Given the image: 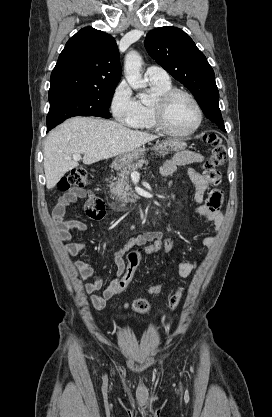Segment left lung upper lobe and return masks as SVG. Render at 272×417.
<instances>
[{
	"mask_svg": "<svg viewBox=\"0 0 272 417\" xmlns=\"http://www.w3.org/2000/svg\"><path fill=\"white\" fill-rule=\"evenodd\" d=\"M145 48L159 65L191 91L204 114L226 131L214 71L193 40L181 29L165 26L147 34Z\"/></svg>",
	"mask_w": 272,
	"mask_h": 417,
	"instance_id": "1",
	"label": "left lung upper lobe"
}]
</instances>
